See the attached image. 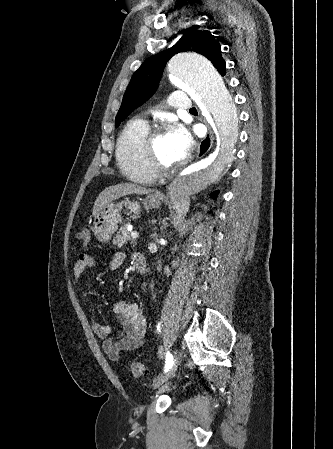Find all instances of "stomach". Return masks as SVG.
I'll return each instance as SVG.
<instances>
[{
  "label": "stomach",
  "instance_id": "obj_1",
  "mask_svg": "<svg viewBox=\"0 0 333 449\" xmlns=\"http://www.w3.org/2000/svg\"><path fill=\"white\" fill-rule=\"evenodd\" d=\"M161 200L151 194L146 197L143 204L146 209L157 208ZM125 206L131 213L138 215L140 205L137 202L123 201L121 203L110 202L104 206L94 217L93 232L100 242H107L116 231L121 222V210Z\"/></svg>",
  "mask_w": 333,
  "mask_h": 449
}]
</instances>
